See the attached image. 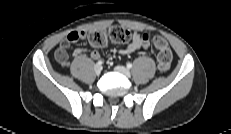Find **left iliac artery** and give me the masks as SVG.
<instances>
[{"label":"left iliac artery","mask_w":231,"mask_h":134,"mask_svg":"<svg viewBox=\"0 0 231 134\" xmlns=\"http://www.w3.org/2000/svg\"><path fill=\"white\" fill-rule=\"evenodd\" d=\"M127 68L128 69L132 68V63H127Z\"/></svg>","instance_id":"left-iliac-artery-1"}]
</instances>
